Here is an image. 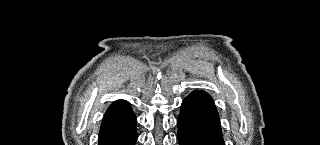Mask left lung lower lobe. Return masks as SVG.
Instances as JSON below:
<instances>
[{"label": "left lung lower lobe", "mask_w": 320, "mask_h": 145, "mask_svg": "<svg viewBox=\"0 0 320 145\" xmlns=\"http://www.w3.org/2000/svg\"><path fill=\"white\" fill-rule=\"evenodd\" d=\"M178 141L180 145H224L219 115L208 93L196 90L183 100Z\"/></svg>", "instance_id": "1"}]
</instances>
